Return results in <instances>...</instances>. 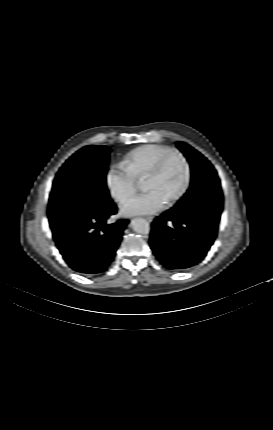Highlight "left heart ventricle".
Segmentation results:
<instances>
[{"mask_svg":"<svg viewBox=\"0 0 273 430\" xmlns=\"http://www.w3.org/2000/svg\"><path fill=\"white\" fill-rule=\"evenodd\" d=\"M185 179V168L177 156H172L166 163L160 176L147 179L146 191H156L167 203L181 188Z\"/></svg>","mask_w":273,"mask_h":430,"instance_id":"obj_1","label":"left heart ventricle"}]
</instances>
